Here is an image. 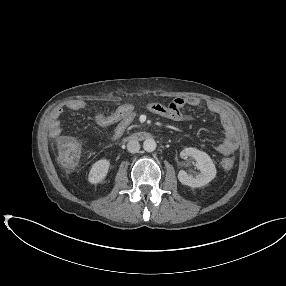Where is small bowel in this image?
I'll list each match as a JSON object with an SVG mask.
<instances>
[{
	"mask_svg": "<svg viewBox=\"0 0 286 286\" xmlns=\"http://www.w3.org/2000/svg\"><path fill=\"white\" fill-rule=\"evenodd\" d=\"M201 104L200 99L196 97H178L167 105L160 103L147 104V110L151 113L157 114L172 121H187V116L183 109L187 106L197 107ZM207 109L217 115L224 127L225 137L222 142L215 145V150L223 156H230L239 146V136L236 132L233 118L230 112L223 106L209 102ZM66 110L71 112L89 111L92 113L93 122L100 127L115 126L110 136L111 140H117L124 135L128 128L133 123L136 112L134 106L131 104H122L110 113L94 111L92 107L85 101L73 100L66 106ZM65 112L64 108H56L51 115L50 121V135L57 137L61 131V117Z\"/></svg>",
	"mask_w": 286,
	"mask_h": 286,
	"instance_id": "1",
	"label": "small bowel"
}]
</instances>
